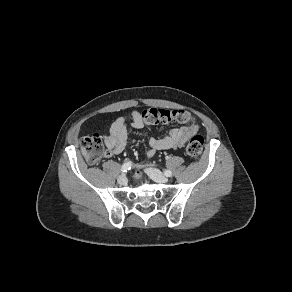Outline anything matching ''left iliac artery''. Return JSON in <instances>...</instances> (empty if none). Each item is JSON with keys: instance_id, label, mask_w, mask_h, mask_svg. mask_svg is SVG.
Listing matches in <instances>:
<instances>
[{"instance_id": "44dca946", "label": "left iliac artery", "mask_w": 292, "mask_h": 292, "mask_svg": "<svg viewBox=\"0 0 292 292\" xmlns=\"http://www.w3.org/2000/svg\"><path fill=\"white\" fill-rule=\"evenodd\" d=\"M164 174L167 176V177H171L172 176V172L170 170H165L164 171Z\"/></svg>"}]
</instances>
